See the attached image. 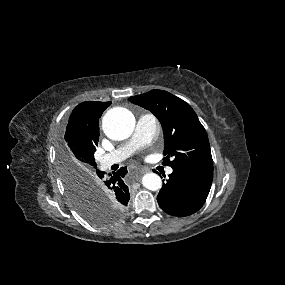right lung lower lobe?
<instances>
[{
  "label": "right lung lower lobe",
  "mask_w": 285,
  "mask_h": 285,
  "mask_svg": "<svg viewBox=\"0 0 285 285\" xmlns=\"http://www.w3.org/2000/svg\"><path fill=\"white\" fill-rule=\"evenodd\" d=\"M127 174L126 167H122L112 175L105 176L104 173L96 170L95 177L91 179L94 188L100 193H105L112 201L121 206L124 210L127 206L130 194L128 187L123 181Z\"/></svg>",
  "instance_id": "1"
}]
</instances>
